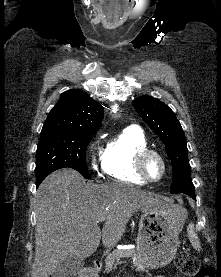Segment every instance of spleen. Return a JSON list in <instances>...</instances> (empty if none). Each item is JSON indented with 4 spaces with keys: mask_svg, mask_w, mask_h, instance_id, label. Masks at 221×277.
I'll use <instances>...</instances> for the list:
<instances>
[{
    "mask_svg": "<svg viewBox=\"0 0 221 277\" xmlns=\"http://www.w3.org/2000/svg\"><path fill=\"white\" fill-rule=\"evenodd\" d=\"M187 233H188V237H189V240L193 246V248L197 251H201V243H200V240L194 230V224L193 223H190L188 225V228H187Z\"/></svg>",
    "mask_w": 221,
    "mask_h": 277,
    "instance_id": "spleen-1",
    "label": "spleen"
}]
</instances>
